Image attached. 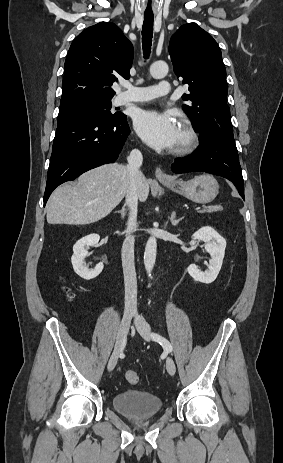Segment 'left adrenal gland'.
I'll return each instance as SVG.
<instances>
[{
    "label": "left adrenal gland",
    "instance_id": "1",
    "mask_svg": "<svg viewBox=\"0 0 283 463\" xmlns=\"http://www.w3.org/2000/svg\"><path fill=\"white\" fill-rule=\"evenodd\" d=\"M184 217H181L179 219H176V212H172L171 214V217H170V221H171V224L173 226H176L177 224H179L180 221L183 220Z\"/></svg>",
    "mask_w": 283,
    "mask_h": 463
}]
</instances>
